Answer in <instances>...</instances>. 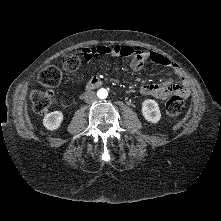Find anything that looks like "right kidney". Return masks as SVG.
Masks as SVG:
<instances>
[{
    "mask_svg": "<svg viewBox=\"0 0 221 221\" xmlns=\"http://www.w3.org/2000/svg\"><path fill=\"white\" fill-rule=\"evenodd\" d=\"M63 113L60 111H53L45 115L43 125L49 131L58 129L63 121Z\"/></svg>",
    "mask_w": 221,
    "mask_h": 221,
    "instance_id": "right-kidney-1",
    "label": "right kidney"
}]
</instances>
